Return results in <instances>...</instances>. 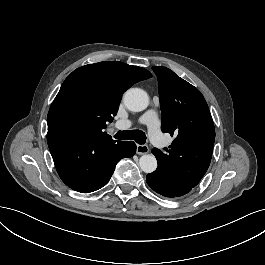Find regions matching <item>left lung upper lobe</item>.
Here are the masks:
<instances>
[{
	"instance_id": "1",
	"label": "left lung upper lobe",
	"mask_w": 265,
	"mask_h": 265,
	"mask_svg": "<svg viewBox=\"0 0 265 265\" xmlns=\"http://www.w3.org/2000/svg\"><path fill=\"white\" fill-rule=\"evenodd\" d=\"M159 82L162 131L175 136L165 148H154L158 165L175 173L191 186L198 185L212 158L215 128L203 95L172 70L152 67Z\"/></svg>"
}]
</instances>
